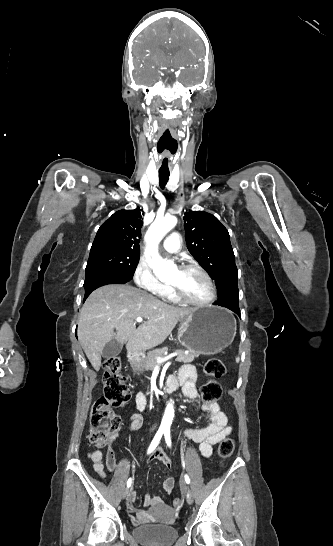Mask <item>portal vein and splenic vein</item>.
<instances>
[{
	"instance_id": "18ae733b",
	"label": "portal vein and splenic vein",
	"mask_w": 333,
	"mask_h": 546,
	"mask_svg": "<svg viewBox=\"0 0 333 546\" xmlns=\"http://www.w3.org/2000/svg\"><path fill=\"white\" fill-rule=\"evenodd\" d=\"M142 321H143V318H142V317H137V318H136V322H137V323H142ZM178 355H179L178 352H173V353H171V354H169V355H167V356H165V357H158V358H157V363L165 362V361H167V360H169V359H171V358H173V357H175V356H178Z\"/></svg>"
}]
</instances>
